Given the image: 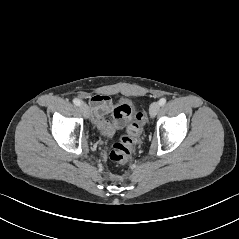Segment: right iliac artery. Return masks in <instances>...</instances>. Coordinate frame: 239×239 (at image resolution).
<instances>
[{"instance_id": "obj_1", "label": "right iliac artery", "mask_w": 239, "mask_h": 239, "mask_svg": "<svg viewBox=\"0 0 239 239\" xmlns=\"http://www.w3.org/2000/svg\"><path fill=\"white\" fill-rule=\"evenodd\" d=\"M73 103H74L76 106H80V104H81L80 100L77 99V98H75V99L73 100Z\"/></svg>"}]
</instances>
